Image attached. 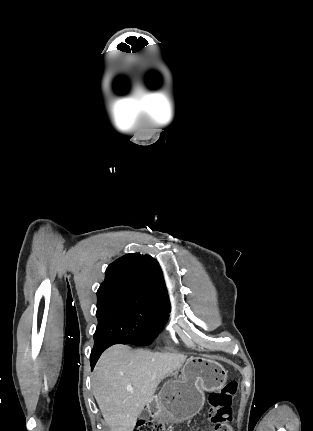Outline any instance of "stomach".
Here are the masks:
<instances>
[{"label":"stomach","mask_w":313,"mask_h":431,"mask_svg":"<svg viewBox=\"0 0 313 431\" xmlns=\"http://www.w3.org/2000/svg\"><path fill=\"white\" fill-rule=\"evenodd\" d=\"M227 382V371L216 361L203 358H189L180 379L169 380L152 402L156 408L154 417L164 423H179L187 420L202 409L204 392L220 390Z\"/></svg>","instance_id":"stomach-1"}]
</instances>
